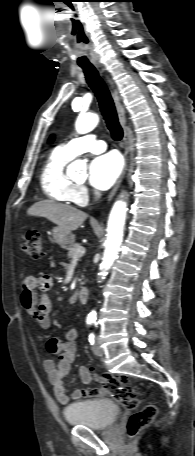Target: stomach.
<instances>
[{
    "mask_svg": "<svg viewBox=\"0 0 195 456\" xmlns=\"http://www.w3.org/2000/svg\"><path fill=\"white\" fill-rule=\"evenodd\" d=\"M51 235L53 240L64 249L71 248L75 241L71 232H66L59 226L52 229Z\"/></svg>",
    "mask_w": 195,
    "mask_h": 456,
    "instance_id": "obj_1",
    "label": "stomach"
}]
</instances>
